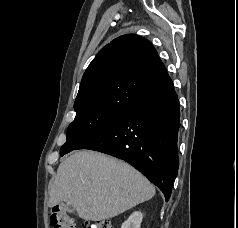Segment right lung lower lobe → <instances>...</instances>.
<instances>
[{"mask_svg":"<svg viewBox=\"0 0 238 228\" xmlns=\"http://www.w3.org/2000/svg\"><path fill=\"white\" fill-rule=\"evenodd\" d=\"M179 101L173 87L123 112L76 149H90L130 163L169 200L177 176Z\"/></svg>","mask_w":238,"mask_h":228,"instance_id":"obj_1","label":"right lung lower lobe"}]
</instances>
